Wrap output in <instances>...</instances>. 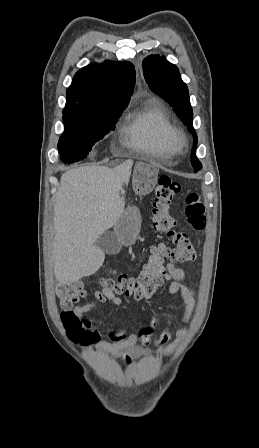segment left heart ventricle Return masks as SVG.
<instances>
[{
    "label": "left heart ventricle",
    "mask_w": 259,
    "mask_h": 448,
    "mask_svg": "<svg viewBox=\"0 0 259 448\" xmlns=\"http://www.w3.org/2000/svg\"><path fill=\"white\" fill-rule=\"evenodd\" d=\"M145 153H147L149 155H155L156 154V152L153 151V150L146 151Z\"/></svg>",
    "instance_id": "obj_1"
}]
</instances>
